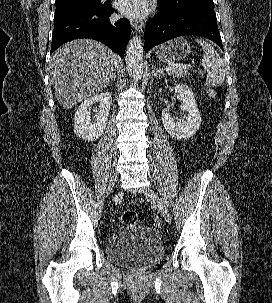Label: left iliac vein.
Here are the masks:
<instances>
[{
  "label": "left iliac vein",
  "instance_id": "1",
  "mask_svg": "<svg viewBox=\"0 0 272 303\" xmlns=\"http://www.w3.org/2000/svg\"><path fill=\"white\" fill-rule=\"evenodd\" d=\"M144 194L145 196L153 203L157 206V208L159 209V211L161 212V214L163 215L164 219L167 222H171V215L169 213V210L166 206V204L164 203V201L160 198V196L152 189L150 188H146L144 190Z\"/></svg>",
  "mask_w": 272,
  "mask_h": 303
}]
</instances>
